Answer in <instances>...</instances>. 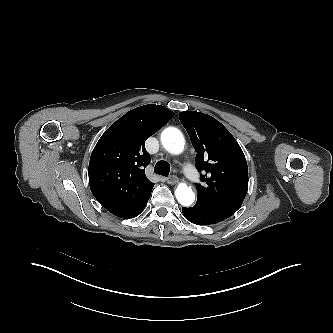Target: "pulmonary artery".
I'll list each match as a JSON object with an SVG mask.
<instances>
[{
  "instance_id": "e3ab8cb5",
  "label": "pulmonary artery",
  "mask_w": 333,
  "mask_h": 333,
  "mask_svg": "<svg viewBox=\"0 0 333 333\" xmlns=\"http://www.w3.org/2000/svg\"><path fill=\"white\" fill-rule=\"evenodd\" d=\"M186 174L188 176V178L192 181V182H197L198 181V174L197 172L194 170V168L187 166L185 168Z\"/></svg>"
}]
</instances>
